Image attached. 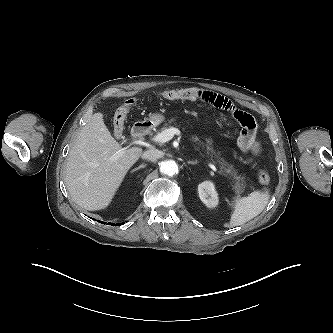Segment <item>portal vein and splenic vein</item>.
<instances>
[{"label": "portal vein and splenic vein", "mask_w": 333, "mask_h": 333, "mask_svg": "<svg viewBox=\"0 0 333 333\" xmlns=\"http://www.w3.org/2000/svg\"><path fill=\"white\" fill-rule=\"evenodd\" d=\"M174 135H180V130L177 128H168L161 133H158L153 140L155 142L165 143L173 138ZM209 167L215 170V166L213 164H209Z\"/></svg>", "instance_id": "obj_1"}]
</instances>
